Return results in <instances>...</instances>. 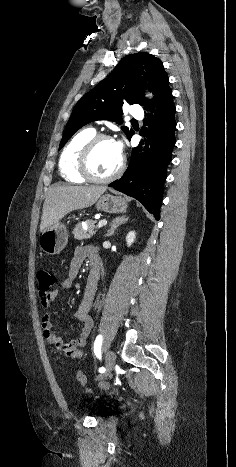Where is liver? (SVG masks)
<instances>
[{"mask_svg":"<svg viewBox=\"0 0 236 467\" xmlns=\"http://www.w3.org/2000/svg\"><path fill=\"white\" fill-rule=\"evenodd\" d=\"M106 190L105 186H52L44 201L40 232L69 212L93 205Z\"/></svg>","mask_w":236,"mask_h":467,"instance_id":"obj_1","label":"liver"}]
</instances>
